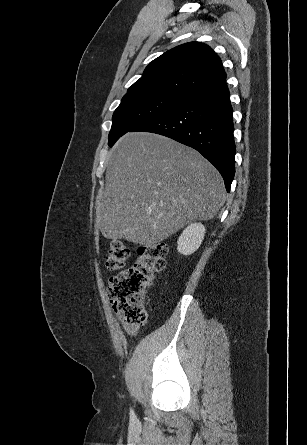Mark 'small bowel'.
I'll list each match as a JSON object with an SVG mask.
<instances>
[{"mask_svg": "<svg viewBox=\"0 0 307 445\" xmlns=\"http://www.w3.org/2000/svg\"><path fill=\"white\" fill-rule=\"evenodd\" d=\"M119 321L129 334L134 335L137 332L138 326L136 324L126 322L122 317H119Z\"/></svg>", "mask_w": 307, "mask_h": 445, "instance_id": "obj_1", "label": "small bowel"}]
</instances>
